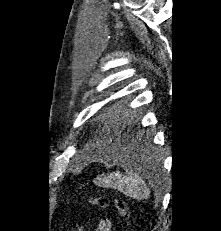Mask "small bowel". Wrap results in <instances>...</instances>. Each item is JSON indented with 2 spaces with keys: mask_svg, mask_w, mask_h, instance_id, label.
I'll list each match as a JSON object with an SVG mask.
<instances>
[{
  "mask_svg": "<svg viewBox=\"0 0 221 231\" xmlns=\"http://www.w3.org/2000/svg\"><path fill=\"white\" fill-rule=\"evenodd\" d=\"M112 222L109 219H101L94 231H111ZM76 231H82L81 228H78Z\"/></svg>",
  "mask_w": 221,
  "mask_h": 231,
  "instance_id": "obj_1",
  "label": "small bowel"
}]
</instances>
